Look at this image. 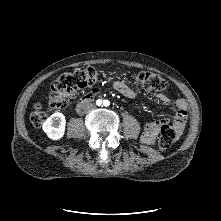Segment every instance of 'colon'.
<instances>
[{"label": "colon", "mask_w": 221, "mask_h": 221, "mask_svg": "<svg viewBox=\"0 0 221 221\" xmlns=\"http://www.w3.org/2000/svg\"><path fill=\"white\" fill-rule=\"evenodd\" d=\"M107 76L103 70H98L93 67L77 69L70 73H64L57 78L52 84L49 105L53 109L64 108L67 104V98L72 93L83 90L92 89L98 90L96 86L102 79ZM137 83L148 92H161L166 88L165 80L158 74L141 71L135 77ZM46 119V113L40 106L36 107L31 114V122L39 127ZM178 134L170 125L162 126L159 136V147L161 150H167L176 141Z\"/></svg>", "instance_id": "obj_1"}]
</instances>
